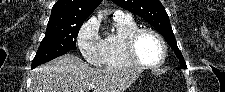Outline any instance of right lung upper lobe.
Here are the masks:
<instances>
[{
    "mask_svg": "<svg viewBox=\"0 0 225 92\" xmlns=\"http://www.w3.org/2000/svg\"><path fill=\"white\" fill-rule=\"evenodd\" d=\"M102 0H58L52 8L48 25L86 20ZM47 25V26H48Z\"/></svg>",
    "mask_w": 225,
    "mask_h": 92,
    "instance_id": "cb5924a9",
    "label": "right lung upper lobe"
}]
</instances>
